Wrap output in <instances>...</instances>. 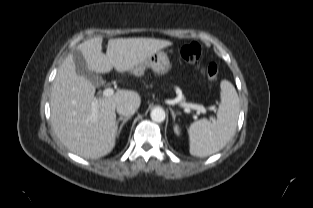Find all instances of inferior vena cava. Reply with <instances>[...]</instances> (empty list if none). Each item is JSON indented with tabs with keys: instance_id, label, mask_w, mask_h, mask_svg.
<instances>
[{
	"instance_id": "obj_1",
	"label": "inferior vena cava",
	"mask_w": 313,
	"mask_h": 208,
	"mask_svg": "<svg viewBox=\"0 0 313 208\" xmlns=\"http://www.w3.org/2000/svg\"><path fill=\"white\" fill-rule=\"evenodd\" d=\"M116 110L119 115L130 117L136 112L137 107L129 102H124L119 103L116 106Z\"/></svg>"
}]
</instances>
